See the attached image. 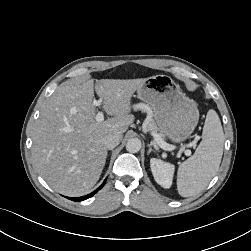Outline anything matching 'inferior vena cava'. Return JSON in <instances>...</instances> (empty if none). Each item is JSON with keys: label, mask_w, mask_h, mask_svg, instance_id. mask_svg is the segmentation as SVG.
I'll list each match as a JSON object with an SVG mask.
<instances>
[{"label": "inferior vena cava", "mask_w": 251, "mask_h": 251, "mask_svg": "<svg viewBox=\"0 0 251 251\" xmlns=\"http://www.w3.org/2000/svg\"><path fill=\"white\" fill-rule=\"evenodd\" d=\"M120 142L119 135H109L104 139V145L107 149H114Z\"/></svg>", "instance_id": "inferior-vena-cava-1"}]
</instances>
